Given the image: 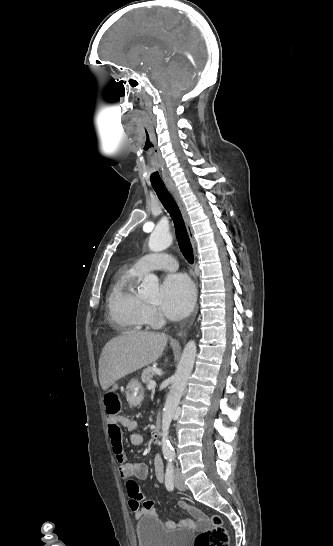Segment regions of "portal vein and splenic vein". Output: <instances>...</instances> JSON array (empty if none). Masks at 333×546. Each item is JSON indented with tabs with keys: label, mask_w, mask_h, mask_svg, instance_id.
I'll list each match as a JSON object with an SVG mask.
<instances>
[{
	"label": "portal vein and splenic vein",
	"mask_w": 333,
	"mask_h": 546,
	"mask_svg": "<svg viewBox=\"0 0 333 546\" xmlns=\"http://www.w3.org/2000/svg\"><path fill=\"white\" fill-rule=\"evenodd\" d=\"M148 387H149L150 389L155 388V387H156V382H155V381H150L149 384H148Z\"/></svg>",
	"instance_id": "portal-vein-and-splenic-vein-1"
}]
</instances>
